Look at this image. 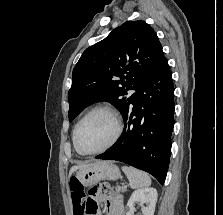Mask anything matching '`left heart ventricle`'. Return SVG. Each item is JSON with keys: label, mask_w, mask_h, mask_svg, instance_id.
<instances>
[{"label": "left heart ventricle", "mask_w": 223, "mask_h": 215, "mask_svg": "<svg viewBox=\"0 0 223 215\" xmlns=\"http://www.w3.org/2000/svg\"><path fill=\"white\" fill-rule=\"evenodd\" d=\"M115 124L106 113H96L88 117L78 128L76 143L82 152L101 149L111 140Z\"/></svg>", "instance_id": "left-heart-ventricle-1"}]
</instances>
